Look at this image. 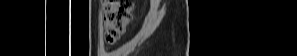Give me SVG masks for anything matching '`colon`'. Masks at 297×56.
I'll return each instance as SVG.
<instances>
[{"label": "colon", "mask_w": 297, "mask_h": 56, "mask_svg": "<svg viewBox=\"0 0 297 56\" xmlns=\"http://www.w3.org/2000/svg\"><path fill=\"white\" fill-rule=\"evenodd\" d=\"M133 0H109L104 3L105 39L107 43H116L125 33L134 16Z\"/></svg>", "instance_id": "obj_1"}]
</instances>
